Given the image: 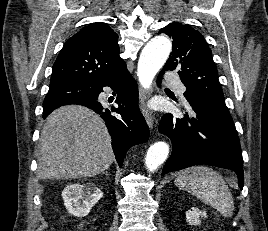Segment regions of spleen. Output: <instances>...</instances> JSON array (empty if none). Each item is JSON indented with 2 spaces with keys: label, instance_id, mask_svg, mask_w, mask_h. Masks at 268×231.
<instances>
[{
  "label": "spleen",
  "instance_id": "spleen-1",
  "mask_svg": "<svg viewBox=\"0 0 268 231\" xmlns=\"http://www.w3.org/2000/svg\"><path fill=\"white\" fill-rule=\"evenodd\" d=\"M175 185L211 205L224 217H231L234 210L232 194L224 179L206 166H193L179 173Z\"/></svg>",
  "mask_w": 268,
  "mask_h": 231
}]
</instances>
